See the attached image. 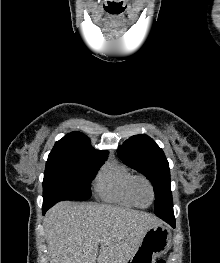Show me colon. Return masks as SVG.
Listing matches in <instances>:
<instances>
[{
	"label": "colon",
	"instance_id": "1",
	"mask_svg": "<svg viewBox=\"0 0 220 263\" xmlns=\"http://www.w3.org/2000/svg\"><path fill=\"white\" fill-rule=\"evenodd\" d=\"M157 263H166V262H165V260L160 259V260L157 261Z\"/></svg>",
	"mask_w": 220,
	"mask_h": 263
}]
</instances>
